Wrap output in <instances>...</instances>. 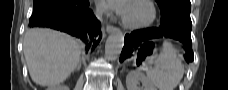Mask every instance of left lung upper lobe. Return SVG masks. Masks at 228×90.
I'll return each mask as SVG.
<instances>
[{
  "label": "left lung upper lobe",
  "mask_w": 228,
  "mask_h": 90,
  "mask_svg": "<svg viewBox=\"0 0 228 90\" xmlns=\"http://www.w3.org/2000/svg\"><path fill=\"white\" fill-rule=\"evenodd\" d=\"M161 10V19L190 24V0H156Z\"/></svg>",
  "instance_id": "left-lung-upper-lobe-1"
}]
</instances>
